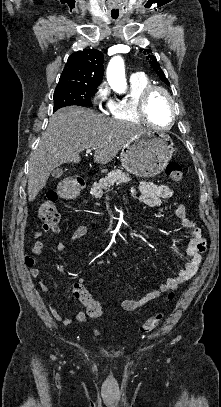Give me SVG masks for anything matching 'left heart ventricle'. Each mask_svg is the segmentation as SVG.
<instances>
[{
    "instance_id": "1",
    "label": "left heart ventricle",
    "mask_w": 221,
    "mask_h": 407,
    "mask_svg": "<svg viewBox=\"0 0 221 407\" xmlns=\"http://www.w3.org/2000/svg\"><path fill=\"white\" fill-rule=\"evenodd\" d=\"M148 114L153 123L167 126L171 119V107L167 98L161 94H155L148 105Z\"/></svg>"
}]
</instances>
